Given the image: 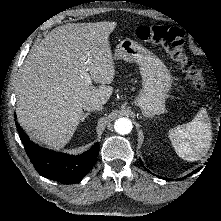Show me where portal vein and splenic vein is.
Segmentation results:
<instances>
[{
    "mask_svg": "<svg viewBox=\"0 0 221 221\" xmlns=\"http://www.w3.org/2000/svg\"><path fill=\"white\" fill-rule=\"evenodd\" d=\"M84 78L86 80V83L90 85L91 84V79H90V76L87 72L84 73Z\"/></svg>",
    "mask_w": 221,
    "mask_h": 221,
    "instance_id": "obj_1",
    "label": "portal vein and splenic vein"
}]
</instances>
